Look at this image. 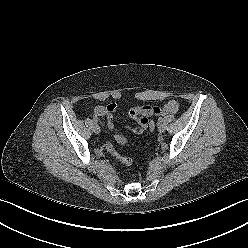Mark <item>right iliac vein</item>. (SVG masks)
<instances>
[{
    "label": "right iliac vein",
    "instance_id": "63e3f726",
    "mask_svg": "<svg viewBox=\"0 0 248 248\" xmlns=\"http://www.w3.org/2000/svg\"><path fill=\"white\" fill-rule=\"evenodd\" d=\"M93 131H94V133H96V134H99L100 133V126L99 125H97V124H95L94 126H93Z\"/></svg>",
    "mask_w": 248,
    "mask_h": 248
}]
</instances>
